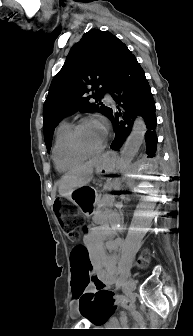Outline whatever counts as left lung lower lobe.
<instances>
[{
  "label": "left lung lower lobe",
  "instance_id": "1",
  "mask_svg": "<svg viewBox=\"0 0 193 336\" xmlns=\"http://www.w3.org/2000/svg\"><path fill=\"white\" fill-rule=\"evenodd\" d=\"M111 92L112 98L121 107L112 109L109 116L115 132L111 148L119 150L122 147L139 115L148 129L145 133L146 154L154 157L157 144L155 102L143 69L128 48L122 53Z\"/></svg>",
  "mask_w": 193,
  "mask_h": 336
}]
</instances>
